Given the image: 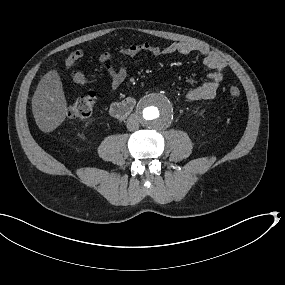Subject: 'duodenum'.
Returning a JSON list of instances; mask_svg holds the SVG:
<instances>
[{"instance_id": "obj_1", "label": "duodenum", "mask_w": 285, "mask_h": 285, "mask_svg": "<svg viewBox=\"0 0 285 285\" xmlns=\"http://www.w3.org/2000/svg\"><path fill=\"white\" fill-rule=\"evenodd\" d=\"M135 106V100L133 98H126L120 102H115L110 106V114L117 119H124L130 115Z\"/></svg>"}]
</instances>
